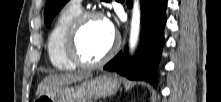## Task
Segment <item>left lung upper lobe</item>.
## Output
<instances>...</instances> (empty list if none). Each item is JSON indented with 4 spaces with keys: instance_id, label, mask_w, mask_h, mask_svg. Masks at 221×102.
<instances>
[{
    "instance_id": "5c2ea615",
    "label": "left lung upper lobe",
    "mask_w": 221,
    "mask_h": 102,
    "mask_svg": "<svg viewBox=\"0 0 221 102\" xmlns=\"http://www.w3.org/2000/svg\"><path fill=\"white\" fill-rule=\"evenodd\" d=\"M68 2V0H47L44 10V20L47 27L56 15V13Z\"/></svg>"
}]
</instances>
